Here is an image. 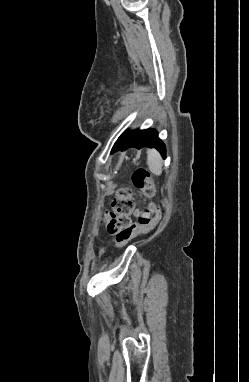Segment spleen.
Masks as SVG:
<instances>
[{
	"label": "spleen",
	"mask_w": 249,
	"mask_h": 382,
	"mask_svg": "<svg viewBox=\"0 0 249 382\" xmlns=\"http://www.w3.org/2000/svg\"><path fill=\"white\" fill-rule=\"evenodd\" d=\"M147 164L150 171L155 175H161L163 160L161 155L155 149L148 152Z\"/></svg>",
	"instance_id": "1"
}]
</instances>
